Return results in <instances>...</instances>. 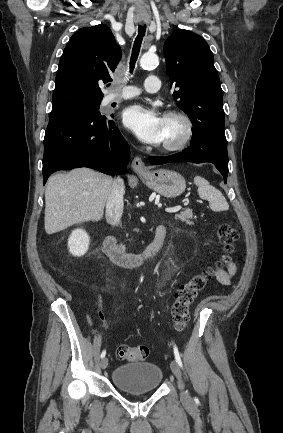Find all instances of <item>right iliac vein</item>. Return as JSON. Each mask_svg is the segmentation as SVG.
<instances>
[{"mask_svg":"<svg viewBox=\"0 0 283 433\" xmlns=\"http://www.w3.org/2000/svg\"><path fill=\"white\" fill-rule=\"evenodd\" d=\"M100 365H101L102 369H106L107 366H108V359L106 357L102 358L101 362H100Z\"/></svg>","mask_w":283,"mask_h":433,"instance_id":"63e3f726","label":"right iliac vein"}]
</instances>
